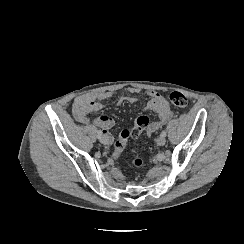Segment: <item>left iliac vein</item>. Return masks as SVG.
<instances>
[{
    "mask_svg": "<svg viewBox=\"0 0 244 244\" xmlns=\"http://www.w3.org/2000/svg\"><path fill=\"white\" fill-rule=\"evenodd\" d=\"M165 142H166V138L163 136L158 137L156 140V143L159 146H163L165 144Z\"/></svg>",
    "mask_w": 244,
    "mask_h": 244,
    "instance_id": "obj_1",
    "label": "left iliac vein"
}]
</instances>
